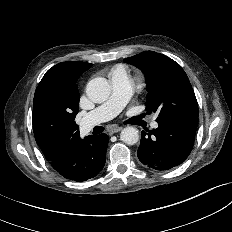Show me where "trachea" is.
Here are the masks:
<instances>
[{
    "instance_id": "3493384b",
    "label": "trachea",
    "mask_w": 232,
    "mask_h": 232,
    "mask_svg": "<svg viewBox=\"0 0 232 232\" xmlns=\"http://www.w3.org/2000/svg\"><path fill=\"white\" fill-rule=\"evenodd\" d=\"M94 130L98 134V133H101L104 130V128L102 126H96Z\"/></svg>"
}]
</instances>
